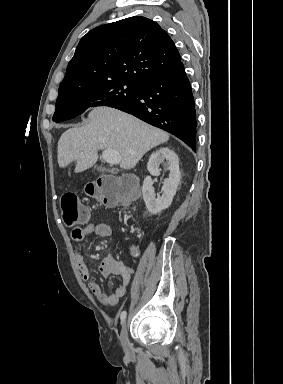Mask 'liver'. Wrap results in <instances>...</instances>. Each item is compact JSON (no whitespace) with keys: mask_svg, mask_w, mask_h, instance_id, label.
Segmentation results:
<instances>
[{"mask_svg":"<svg viewBox=\"0 0 283 384\" xmlns=\"http://www.w3.org/2000/svg\"><path fill=\"white\" fill-rule=\"evenodd\" d=\"M88 122L62 134L57 152L60 168L76 162L75 172H84L96 164L98 150H116L121 156L120 168L131 170L146 152L169 140L167 132L114 108H94Z\"/></svg>","mask_w":283,"mask_h":384,"instance_id":"liver-1","label":"liver"}]
</instances>
